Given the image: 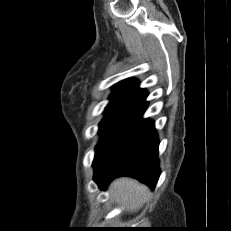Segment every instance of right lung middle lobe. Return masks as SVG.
<instances>
[{"mask_svg":"<svg viewBox=\"0 0 231 231\" xmlns=\"http://www.w3.org/2000/svg\"><path fill=\"white\" fill-rule=\"evenodd\" d=\"M147 104L131 99H112L105 109L106 116L100 123L101 139L96 147L98 153L124 128L142 116Z\"/></svg>","mask_w":231,"mask_h":231,"instance_id":"obj_1","label":"right lung middle lobe"}]
</instances>
